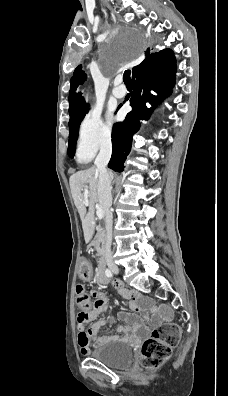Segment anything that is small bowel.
<instances>
[{"mask_svg": "<svg viewBox=\"0 0 228 396\" xmlns=\"http://www.w3.org/2000/svg\"><path fill=\"white\" fill-rule=\"evenodd\" d=\"M80 272L83 277H90L92 270L90 264L86 260L82 261ZM99 281L105 284L108 282V278L104 274V280L102 281L99 278ZM113 284L117 293L129 301V306L135 313L121 311L117 314V319L127 323L126 325L117 327V332L122 333L123 336L98 335L100 328L111 323L114 318L98 320L94 322L88 330L79 326L78 344L84 353L88 351L91 345L126 339L129 335H142L148 330V323L146 322L148 321V311L152 308V302L139 294L130 292L120 281H114ZM92 295L95 301L94 309L90 313V320H95L99 314L108 309L109 301L108 297L102 292L93 291ZM158 314L159 317H166L167 311L161 309Z\"/></svg>", "mask_w": 228, "mask_h": 396, "instance_id": "c3829d8e", "label": "small bowel"}]
</instances>
